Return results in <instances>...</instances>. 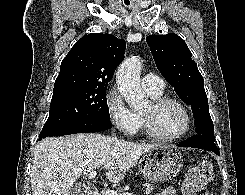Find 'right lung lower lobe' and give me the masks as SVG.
<instances>
[{
  "label": "right lung lower lobe",
  "instance_id": "1",
  "mask_svg": "<svg viewBox=\"0 0 245 195\" xmlns=\"http://www.w3.org/2000/svg\"><path fill=\"white\" fill-rule=\"evenodd\" d=\"M112 127V123L110 119L106 118H93L81 123L72 125L65 129H62L56 133H53L50 136H62L69 135L75 133H89V132H99L110 129ZM42 138H39L41 140Z\"/></svg>",
  "mask_w": 245,
  "mask_h": 195
}]
</instances>
